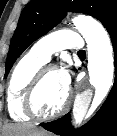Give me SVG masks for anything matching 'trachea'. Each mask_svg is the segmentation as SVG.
Masks as SVG:
<instances>
[{
  "label": "trachea",
  "mask_w": 117,
  "mask_h": 136,
  "mask_svg": "<svg viewBox=\"0 0 117 136\" xmlns=\"http://www.w3.org/2000/svg\"><path fill=\"white\" fill-rule=\"evenodd\" d=\"M78 53H85V50H80L78 51Z\"/></svg>",
  "instance_id": "obj_1"
}]
</instances>
